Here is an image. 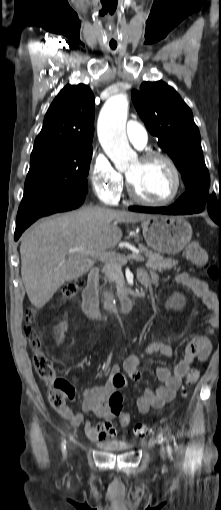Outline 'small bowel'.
<instances>
[{
  "label": "small bowel",
  "mask_w": 221,
  "mask_h": 510,
  "mask_svg": "<svg viewBox=\"0 0 221 510\" xmlns=\"http://www.w3.org/2000/svg\"><path fill=\"white\" fill-rule=\"evenodd\" d=\"M146 280H141L144 286L158 283V276L150 270L141 269ZM175 282L189 288L197 297L201 298L209 313L205 317L208 332L214 333L218 326V317L216 314L219 306L217 295L209 288L208 284L187 273H180L175 277ZM211 353V343L207 336L201 335L194 337L187 345L184 357L174 366L173 371L165 366L156 370V376L162 385L155 389L146 388L142 394L135 398L136 407L140 414H147L151 409H160L166 403L172 401L181 386L183 378L190 371L192 363H203ZM161 354L169 359L173 358V350L170 345L161 341H154L139 351L128 354L121 365H114L111 368V377L115 373L124 371L129 378L134 381L142 379V373L138 369L139 361L144 355ZM78 376L73 377V382L77 383ZM115 392L111 383V378L105 385L87 387L82 391V410L85 413H93L103 421L93 423L90 420L84 421L82 413H74L70 408L59 411V414L68 420L73 426L84 424L85 434L90 440H107L116 435V430L112 427V421L117 419L116 409L111 406L109 399Z\"/></svg>",
  "instance_id": "small-bowel-1"
}]
</instances>
